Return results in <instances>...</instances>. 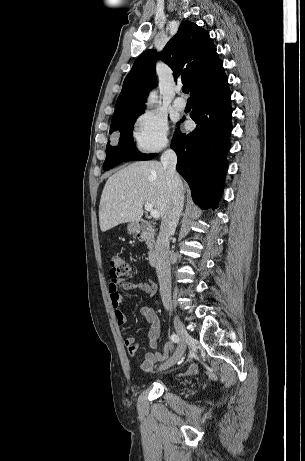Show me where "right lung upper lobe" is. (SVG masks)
<instances>
[{
  "label": "right lung upper lobe",
  "mask_w": 305,
  "mask_h": 461,
  "mask_svg": "<svg viewBox=\"0 0 305 461\" xmlns=\"http://www.w3.org/2000/svg\"><path fill=\"white\" fill-rule=\"evenodd\" d=\"M163 60L189 86L192 96L198 89L224 73L223 63L209 34L196 24L184 21L177 34L166 44L161 54L147 50L134 62L117 99L110 129L120 121L142 114L144 102L155 87V62Z\"/></svg>",
  "instance_id": "right-lung-upper-lobe-1"
}]
</instances>
